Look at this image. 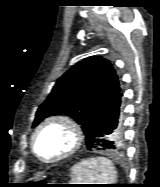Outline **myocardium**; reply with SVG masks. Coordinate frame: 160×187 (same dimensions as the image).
I'll return each mask as SVG.
<instances>
[{"label": "myocardium", "instance_id": "1", "mask_svg": "<svg viewBox=\"0 0 160 187\" xmlns=\"http://www.w3.org/2000/svg\"><path fill=\"white\" fill-rule=\"evenodd\" d=\"M52 125H60L64 128H66L72 137V143L66 151L58 154L57 156H55L53 158H44L37 151V142H38V138H39L40 134L43 132V130H45L47 127L52 126ZM83 140H84V133H83V130L78 122H76L74 119H72L71 117L66 116V115H54V116H50V117L44 119L37 126V128L35 129V131L32 135L31 149H32L34 155L40 161L47 163V164H51V163L58 162L60 160H63L65 158L73 155L75 152H77L79 150V148L81 147V145L83 143Z\"/></svg>", "mask_w": 160, "mask_h": 187}]
</instances>
